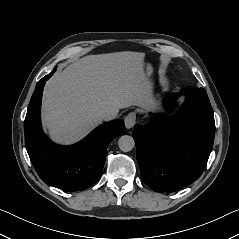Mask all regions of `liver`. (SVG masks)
I'll list each match as a JSON object with an SVG mask.
<instances>
[{"label": "liver", "mask_w": 239, "mask_h": 239, "mask_svg": "<svg viewBox=\"0 0 239 239\" xmlns=\"http://www.w3.org/2000/svg\"><path fill=\"white\" fill-rule=\"evenodd\" d=\"M145 55L116 52L89 55L70 64L45 86L42 121L53 140L70 144L101 123L102 112L118 114L150 104Z\"/></svg>", "instance_id": "obj_1"}]
</instances>
